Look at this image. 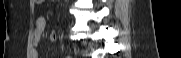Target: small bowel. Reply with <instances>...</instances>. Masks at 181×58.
<instances>
[{
	"label": "small bowel",
	"mask_w": 181,
	"mask_h": 58,
	"mask_svg": "<svg viewBox=\"0 0 181 58\" xmlns=\"http://www.w3.org/2000/svg\"><path fill=\"white\" fill-rule=\"evenodd\" d=\"M35 30H34V41H33V46H34V58H38V49L40 47L41 44V38L43 35V32L45 30V26H46V20L44 17H38L35 22ZM58 38V35L56 32H52L50 34V40L51 41H56Z\"/></svg>",
	"instance_id": "obj_1"
}]
</instances>
